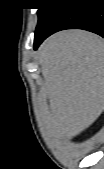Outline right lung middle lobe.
I'll return each instance as SVG.
<instances>
[{"mask_svg": "<svg viewBox=\"0 0 104 169\" xmlns=\"http://www.w3.org/2000/svg\"><path fill=\"white\" fill-rule=\"evenodd\" d=\"M63 0H40L38 5V25L36 31L40 30L49 18L58 10Z\"/></svg>", "mask_w": 104, "mask_h": 169, "instance_id": "obj_1", "label": "right lung middle lobe"}]
</instances>
